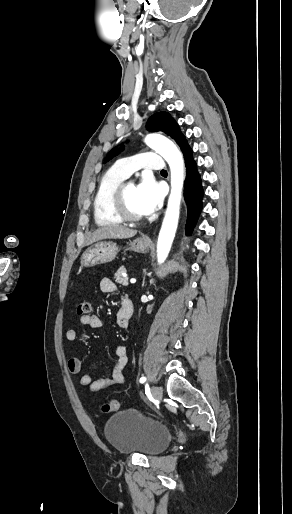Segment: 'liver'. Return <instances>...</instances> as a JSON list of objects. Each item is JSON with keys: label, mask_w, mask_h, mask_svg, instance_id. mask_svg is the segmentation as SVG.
I'll use <instances>...</instances> for the list:
<instances>
[{"label": "liver", "mask_w": 292, "mask_h": 514, "mask_svg": "<svg viewBox=\"0 0 292 514\" xmlns=\"http://www.w3.org/2000/svg\"><path fill=\"white\" fill-rule=\"evenodd\" d=\"M137 230H129L125 226H101L95 230L87 240V244H94L99 240H123V238H133L136 236Z\"/></svg>", "instance_id": "liver-1"}]
</instances>
